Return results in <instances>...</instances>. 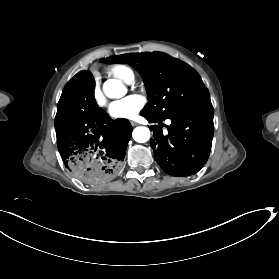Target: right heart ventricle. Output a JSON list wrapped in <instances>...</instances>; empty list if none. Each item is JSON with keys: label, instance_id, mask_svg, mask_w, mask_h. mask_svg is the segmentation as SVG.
Instances as JSON below:
<instances>
[{"label": "right heart ventricle", "instance_id": "e07e8e85", "mask_svg": "<svg viewBox=\"0 0 279 279\" xmlns=\"http://www.w3.org/2000/svg\"><path fill=\"white\" fill-rule=\"evenodd\" d=\"M106 73L123 83H132L134 80L132 69L126 65H112L106 69Z\"/></svg>", "mask_w": 279, "mask_h": 279}]
</instances>
